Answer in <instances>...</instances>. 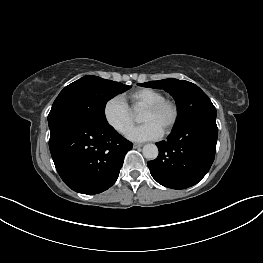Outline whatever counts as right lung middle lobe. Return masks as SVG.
<instances>
[{"mask_svg": "<svg viewBox=\"0 0 263 263\" xmlns=\"http://www.w3.org/2000/svg\"><path fill=\"white\" fill-rule=\"evenodd\" d=\"M130 86L97 76H85L66 86L55 99L48 115L49 126L64 119H79L100 125L106 102Z\"/></svg>", "mask_w": 263, "mask_h": 263, "instance_id": "obj_1", "label": "right lung middle lobe"}]
</instances>
